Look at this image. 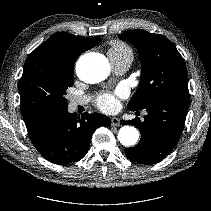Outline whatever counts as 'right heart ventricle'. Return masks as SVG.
<instances>
[{"label": "right heart ventricle", "mask_w": 211, "mask_h": 211, "mask_svg": "<svg viewBox=\"0 0 211 211\" xmlns=\"http://www.w3.org/2000/svg\"><path fill=\"white\" fill-rule=\"evenodd\" d=\"M108 56L113 58H129L133 59V51L132 49L122 41L114 40L110 43V47L108 50Z\"/></svg>", "instance_id": "obj_1"}]
</instances>
